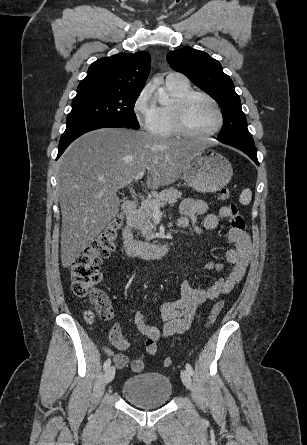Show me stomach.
Returning <instances> with one entry per match:
<instances>
[{
	"label": "stomach",
	"mask_w": 307,
	"mask_h": 445,
	"mask_svg": "<svg viewBox=\"0 0 307 445\" xmlns=\"http://www.w3.org/2000/svg\"><path fill=\"white\" fill-rule=\"evenodd\" d=\"M233 168L220 152L211 148H198L183 172L187 186L197 192H217L231 180Z\"/></svg>",
	"instance_id": "1"
}]
</instances>
